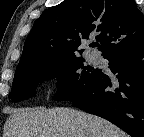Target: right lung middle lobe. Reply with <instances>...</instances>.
I'll use <instances>...</instances> for the list:
<instances>
[{"mask_svg":"<svg viewBox=\"0 0 144 137\" xmlns=\"http://www.w3.org/2000/svg\"><path fill=\"white\" fill-rule=\"evenodd\" d=\"M100 70L83 66L77 56L52 60H37L17 66L9 98L15 102L35 95L39 81L58 77L57 101H72L79 97L95 80Z\"/></svg>","mask_w":144,"mask_h":137,"instance_id":"right-lung-middle-lobe-1","label":"right lung middle lobe"}]
</instances>
